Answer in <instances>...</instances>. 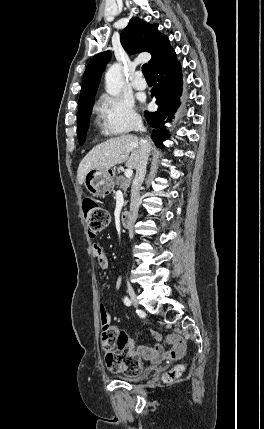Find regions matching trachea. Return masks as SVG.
<instances>
[{
  "mask_svg": "<svg viewBox=\"0 0 264 429\" xmlns=\"http://www.w3.org/2000/svg\"><path fill=\"white\" fill-rule=\"evenodd\" d=\"M142 72H143V75H144L145 78H150V75H149L148 69H147V64H144L142 66Z\"/></svg>",
  "mask_w": 264,
  "mask_h": 429,
  "instance_id": "1",
  "label": "trachea"
}]
</instances>
